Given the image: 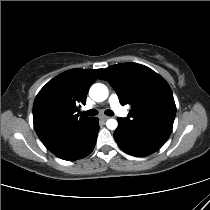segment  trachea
I'll list each match as a JSON object with an SVG mask.
<instances>
[{"mask_svg":"<svg viewBox=\"0 0 210 210\" xmlns=\"http://www.w3.org/2000/svg\"><path fill=\"white\" fill-rule=\"evenodd\" d=\"M82 114L87 115V116H95V115L98 114V111L95 110V109H90V110H88V111L83 112ZM105 114H106L107 116H113V115H114V113H113L112 110H106V111H105Z\"/></svg>","mask_w":210,"mask_h":210,"instance_id":"1","label":"trachea"}]
</instances>
